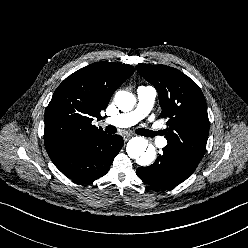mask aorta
I'll use <instances>...</instances> for the list:
<instances>
[{"label":"aorta","mask_w":248,"mask_h":248,"mask_svg":"<svg viewBox=\"0 0 248 248\" xmlns=\"http://www.w3.org/2000/svg\"><path fill=\"white\" fill-rule=\"evenodd\" d=\"M115 103L123 111L132 110L136 104V99L130 92L118 91L115 94ZM148 147V141L141 136L133 137L127 143L126 151L130 158L135 159L141 166L150 165L155 159V149Z\"/></svg>","instance_id":"1"}]
</instances>
